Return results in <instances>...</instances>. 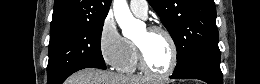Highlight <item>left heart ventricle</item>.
<instances>
[{
    "instance_id": "obj_1",
    "label": "left heart ventricle",
    "mask_w": 260,
    "mask_h": 84,
    "mask_svg": "<svg viewBox=\"0 0 260 84\" xmlns=\"http://www.w3.org/2000/svg\"><path fill=\"white\" fill-rule=\"evenodd\" d=\"M136 42L142 47L148 66L156 72L168 69L171 49L167 38L160 32L149 33L146 29Z\"/></svg>"
}]
</instances>
